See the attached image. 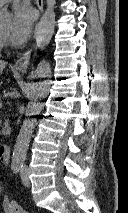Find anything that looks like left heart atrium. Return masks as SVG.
<instances>
[{
  "instance_id": "left-heart-atrium-1",
  "label": "left heart atrium",
  "mask_w": 128,
  "mask_h": 213,
  "mask_svg": "<svg viewBox=\"0 0 128 213\" xmlns=\"http://www.w3.org/2000/svg\"><path fill=\"white\" fill-rule=\"evenodd\" d=\"M35 16L27 5H16L13 9L11 37L17 44L27 40L30 35Z\"/></svg>"
}]
</instances>
